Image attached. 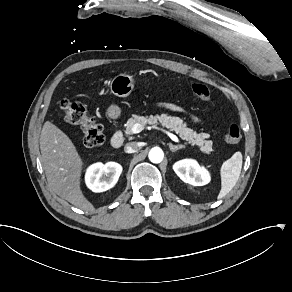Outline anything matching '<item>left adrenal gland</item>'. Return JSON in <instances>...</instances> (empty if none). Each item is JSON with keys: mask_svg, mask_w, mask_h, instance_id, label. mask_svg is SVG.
Listing matches in <instances>:
<instances>
[{"mask_svg": "<svg viewBox=\"0 0 292 292\" xmlns=\"http://www.w3.org/2000/svg\"><path fill=\"white\" fill-rule=\"evenodd\" d=\"M167 145H169V148L172 152H175L177 151L178 149H182L184 148L185 146L183 145H173L172 143H168Z\"/></svg>", "mask_w": 292, "mask_h": 292, "instance_id": "left-adrenal-gland-1", "label": "left adrenal gland"}]
</instances>
